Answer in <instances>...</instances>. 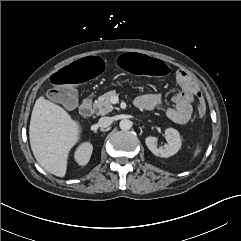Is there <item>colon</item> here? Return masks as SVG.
I'll return each mask as SVG.
<instances>
[{"mask_svg": "<svg viewBox=\"0 0 241 241\" xmlns=\"http://www.w3.org/2000/svg\"><path fill=\"white\" fill-rule=\"evenodd\" d=\"M106 60L97 53H92L72 62L63 70L52 71L46 76L47 88H53L52 100L65 107L74 103L73 93L67 87L75 82L90 81L105 72ZM119 66L125 72L138 73L152 79H168L174 73L173 65L168 61L152 59L142 52L125 53L119 59ZM205 104L199 100L198 113L203 116Z\"/></svg>", "mask_w": 241, "mask_h": 241, "instance_id": "colon-1", "label": "colon"}]
</instances>
